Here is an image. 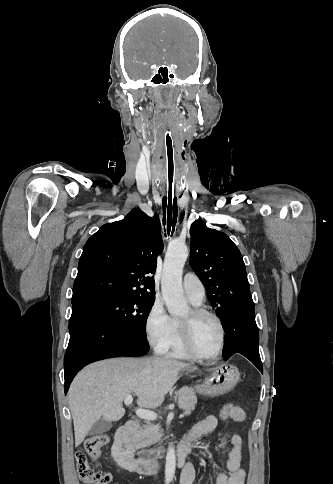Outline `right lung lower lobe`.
I'll return each instance as SVG.
<instances>
[{"label": "right lung lower lobe", "instance_id": "right-lung-lower-lobe-1", "mask_svg": "<svg viewBox=\"0 0 333 484\" xmlns=\"http://www.w3.org/2000/svg\"><path fill=\"white\" fill-rule=\"evenodd\" d=\"M69 332L64 358L65 393L85 365L115 356H142L149 350L147 342L131 336L97 307L82 300L72 303Z\"/></svg>", "mask_w": 333, "mask_h": 484}]
</instances>
